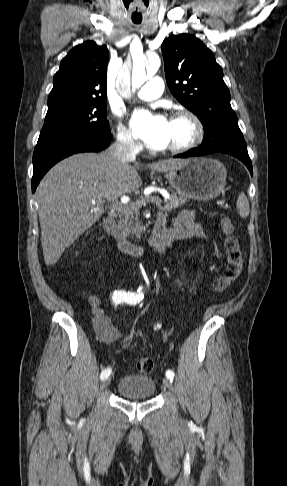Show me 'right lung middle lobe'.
<instances>
[{"instance_id": "right-lung-middle-lobe-1", "label": "right lung middle lobe", "mask_w": 287, "mask_h": 486, "mask_svg": "<svg viewBox=\"0 0 287 486\" xmlns=\"http://www.w3.org/2000/svg\"><path fill=\"white\" fill-rule=\"evenodd\" d=\"M109 134L106 99L67 102L48 107L37 145L95 140Z\"/></svg>"}]
</instances>
